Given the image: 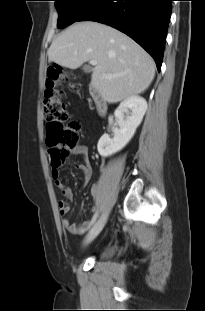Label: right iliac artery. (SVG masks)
<instances>
[{
  "label": "right iliac artery",
  "mask_w": 205,
  "mask_h": 311,
  "mask_svg": "<svg viewBox=\"0 0 205 311\" xmlns=\"http://www.w3.org/2000/svg\"><path fill=\"white\" fill-rule=\"evenodd\" d=\"M96 219H97V215L95 214L91 220L90 227L95 223Z\"/></svg>",
  "instance_id": "82829eb1"
}]
</instances>
